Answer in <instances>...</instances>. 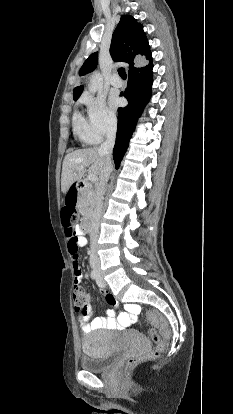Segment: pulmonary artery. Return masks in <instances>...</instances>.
Returning <instances> with one entry per match:
<instances>
[{
    "instance_id": "pulmonary-artery-1",
    "label": "pulmonary artery",
    "mask_w": 233,
    "mask_h": 414,
    "mask_svg": "<svg viewBox=\"0 0 233 414\" xmlns=\"http://www.w3.org/2000/svg\"><path fill=\"white\" fill-rule=\"evenodd\" d=\"M110 82L111 85H113L114 87H121L123 85V82L118 76V74H114Z\"/></svg>"
}]
</instances>
